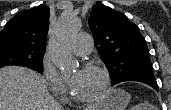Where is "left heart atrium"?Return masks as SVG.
Returning <instances> with one entry per match:
<instances>
[{
  "label": "left heart atrium",
  "mask_w": 171,
  "mask_h": 110,
  "mask_svg": "<svg viewBox=\"0 0 171 110\" xmlns=\"http://www.w3.org/2000/svg\"><path fill=\"white\" fill-rule=\"evenodd\" d=\"M75 79L71 80L70 81V85H72L74 83Z\"/></svg>",
  "instance_id": "obj_1"
}]
</instances>
